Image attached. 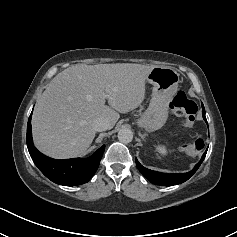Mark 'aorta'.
I'll list each match as a JSON object with an SVG mask.
<instances>
[{
    "label": "aorta",
    "mask_w": 237,
    "mask_h": 237,
    "mask_svg": "<svg viewBox=\"0 0 237 237\" xmlns=\"http://www.w3.org/2000/svg\"><path fill=\"white\" fill-rule=\"evenodd\" d=\"M118 140L122 143H130L133 140V132L128 128H121L118 132Z\"/></svg>",
    "instance_id": "1"
}]
</instances>
